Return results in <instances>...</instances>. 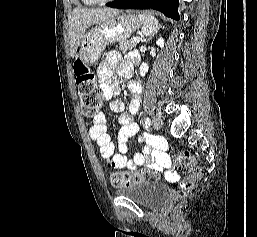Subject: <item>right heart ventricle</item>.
<instances>
[{
  "label": "right heart ventricle",
  "instance_id": "1",
  "mask_svg": "<svg viewBox=\"0 0 257 237\" xmlns=\"http://www.w3.org/2000/svg\"><path fill=\"white\" fill-rule=\"evenodd\" d=\"M84 5L92 6L95 5V2L93 0H81Z\"/></svg>",
  "mask_w": 257,
  "mask_h": 237
}]
</instances>
